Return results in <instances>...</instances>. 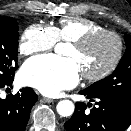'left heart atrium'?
Masks as SVG:
<instances>
[{
	"mask_svg": "<svg viewBox=\"0 0 131 131\" xmlns=\"http://www.w3.org/2000/svg\"><path fill=\"white\" fill-rule=\"evenodd\" d=\"M80 70L72 58L43 55L28 60L20 73L21 80L41 93L55 96L75 86Z\"/></svg>",
	"mask_w": 131,
	"mask_h": 131,
	"instance_id": "1",
	"label": "left heart atrium"
}]
</instances>
